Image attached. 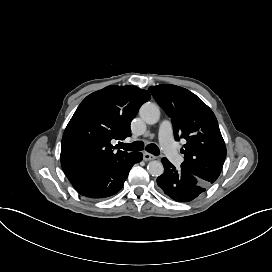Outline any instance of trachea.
<instances>
[{"label": "trachea", "mask_w": 272, "mask_h": 272, "mask_svg": "<svg viewBox=\"0 0 272 272\" xmlns=\"http://www.w3.org/2000/svg\"><path fill=\"white\" fill-rule=\"evenodd\" d=\"M118 146H119V148H122V149L128 150V151H141L144 148V143L142 141H135V142L129 143V144L119 142ZM146 150L154 155L160 154V150L155 144H149L146 147Z\"/></svg>", "instance_id": "obj_1"}]
</instances>
